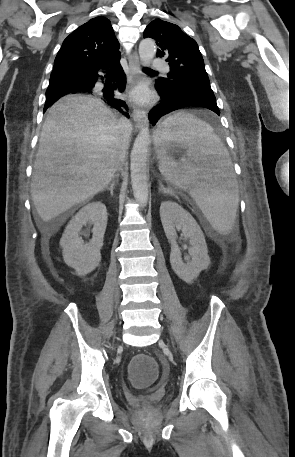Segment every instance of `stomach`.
Here are the masks:
<instances>
[{"label": "stomach", "instance_id": "1", "mask_svg": "<svg viewBox=\"0 0 295 457\" xmlns=\"http://www.w3.org/2000/svg\"><path fill=\"white\" fill-rule=\"evenodd\" d=\"M171 143H175V142H170V143L168 144V146H167V147H169L168 149H171V148H170L171 146H169ZM175 145L178 146V145H181V144H180V143H176ZM163 157L169 158L167 154H165V155H158V158H159V159H160V158H163Z\"/></svg>", "mask_w": 295, "mask_h": 457}]
</instances>
